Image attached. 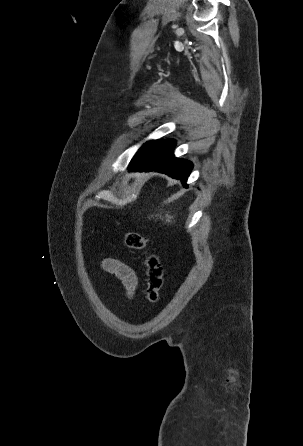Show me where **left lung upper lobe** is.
<instances>
[{"mask_svg": "<svg viewBox=\"0 0 303 446\" xmlns=\"http://www.w3.org/2000/svg\"><path fill=\"white\" fill-rule=\"evenodd\" d=\"M160 140H152V141H148L146 142L136 153L135 156L141 154L142 152H144L145 150H147L148 148H150L151 146H153L154 144H156L157 142H159ZM134 156V157H135Z\"/></svg>", "mask_w": 303, "mask_h": 446, "instance_id": "1", "label": "left lung upper lobe"}]
</instances>
